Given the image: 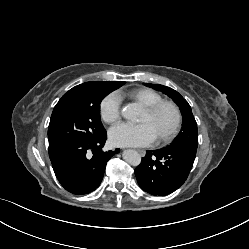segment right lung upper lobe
I'll list each match as a JSON object with an SVG mask.
<instances>
[{
    "label": "right lung upper lobe",
    "instance_id": "obj_1",
    "mask_svg": "<svg viewBox=\"0 0 249 249\" xmlns=\"http://www.w3.org/2000/svg\"><path fill=\"white\" fill-rule=\"evenodd\" d=\"M124 84H125V82H121V81H113V82H86V83L80 84L78 86H75L71 90H69L67 93H65L62 96V98L59 100V102L56 104L55 108H57L59 105H61L66 100H68L69 98H71L76 92H78L79 89L84 88L86 86H103V87L110 88L112 90H116V89H118L119 87H121Z\"/></svg>",
    "mask_w": 249,
    "mask_h": 249
}]
</instances>
